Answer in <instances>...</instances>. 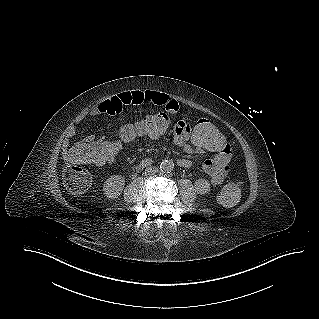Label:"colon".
<instances>
[{
  "mask_svg": "<svg viewBox=\"0 0 319 319\" xmlns=\"http://www.w3.org/2000/svg\"><path fill=\"white\" fill-rule=\"evenodd\" d=\"M171 117L161 111L152 112L131 123L125 124L114 137L95 142L82 141L65 152L70 162L62 174L63 185L73 195L83 194L90 185V175L83 164L97 165L119 163L126 153H131L144 144L156 141L171 132ZM189 139L201 150L219 152V143L226 141L225 132L210 120L198 119L192 123ZM242 182L238 179L227 182L218 193V201L226 207L234 206L241 197Z\"/></svg>",
  "mask_w": 319,
  "mask_h": 319,
  "instance_id": "obj_1",
  "label": "colon"
}]
</instances>
